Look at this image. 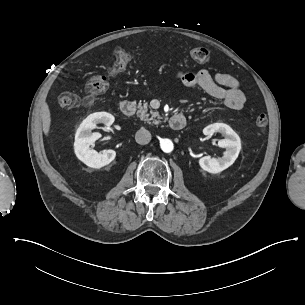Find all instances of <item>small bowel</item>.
<instances>
[{
    "label": "small bowel",
    "instance_id": "small-bowel-1",
    "mask_svg": "<svg viewBox=\"0 0 305 305\" xmlns=\"http://www.w3.org/2000/svg\"><path fill=\"white\" fill-rule=\"evenodd\" d=\"M187 87L199 86L212 97L221 100L226 107L240 110L245 103V95L239 81L226 73L211 75L206 69L197 72H180L176 75Z\"/></svg>",
    "mask_w": 305,
    "mask_h": 305
}]
</instances>
